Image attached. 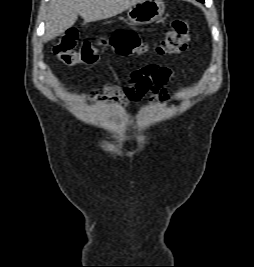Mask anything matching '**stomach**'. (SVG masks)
Segmentation results:
<instances>
[{
    "instance_id": "1",
    "label": "stomach",
    "mask_w": 254,
    "mask_h": 267,
    "mask_svg": "<svg viewBox=\"0 0 254 267\" xmlns=\"http://www.w3.org/2000/svg\"><path fill=\"white\" fill-rule=\"evenodd\" d=\"M165 5L161 0H142L128 9V19L137 25H147L162 17Z\"/></svg>"
}]
</instances>
